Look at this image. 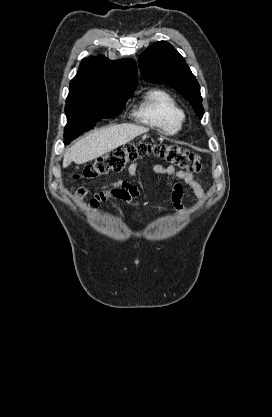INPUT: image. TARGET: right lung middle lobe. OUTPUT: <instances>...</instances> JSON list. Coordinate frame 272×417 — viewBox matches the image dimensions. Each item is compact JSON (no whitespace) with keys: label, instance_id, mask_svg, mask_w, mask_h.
Listing matches in <instances>:
<instances>
[{"label":"right lung middle lobe","instance_id":"1","mask_svg":"<svg viewBox=\"0 0 272 417\" xmlns=\"http://www.w3.org/2000/svg\"><path fill=\"white\" fill-rule=\"evenodd\" d=\"M134 90L99 93L81 100L66 101L67 125L64 129V143L68 144L92 129L99 119L119 115Z\"/></svg>","mask_w":272,"mask_h":417}]
</instances>
